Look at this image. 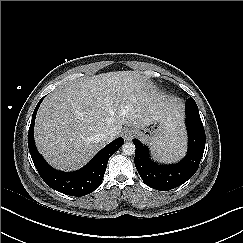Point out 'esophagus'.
I'll return each mask as SVG.
<instances>
[{
	"instance_id": "obj_1",
	"label": "esophagus",
	"mask_w": 243,
	"mask_h": 243,
	"mask_svg": "<svg viewBox=\"0 0 243 243\" xmlns=\"http://www.w3.org/2000/svg\"><path fill=\"white\" fill-rule=\"evenodd\" d=\"M123 136L125 140L130 141L136 136V131L133 128L128 127L124 130Z\"/></svg>"
}]
</instances>
